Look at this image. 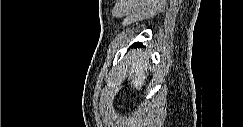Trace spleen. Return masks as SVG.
Masks as SVG:
<instances>
[{
	"mask_svg": "<svg viewBox=\"0 0 243 127\" xmlns=\"http://www.w3.org/2000/svg\"><path fill=\"white\" fill-rule=\"evenodd\" d=\"M148 63L147 62H136L132 65L131 69L128 72V75L132 78H135L132 81V84L136 89H141L146 78L145 72H147Z\"/></svg>",
	"mask_w": 243,
	"mask_h": 127,
	"instance_id": "1",
	"label": "spleen"
}]
</instances>
